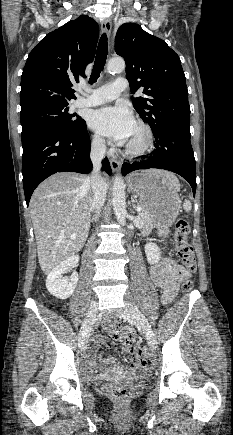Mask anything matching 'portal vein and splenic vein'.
<instances>
[{"label":"portal vein and splenic vein","mask_w":233,"mask_h":435,"mask_svg":"<svg viewBox=\"0 0 233 435\" xmlns=\"http://www.w3.org/2000/svg\"><path fill=\"white\" fill-rule=\"evenodd\" d=\"M140 211H141V207L139 206L137 207V212L140 213ZM76 236H77L76 234H72L71 238H76Z\"/></svg>","instance_id":"portal-vein-and-splenic-vein-1"}]
</instances>
